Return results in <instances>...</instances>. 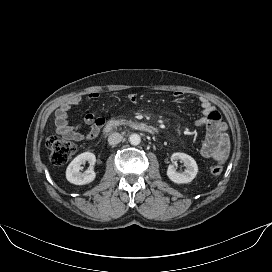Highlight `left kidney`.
<instances>
[{"instance_id": "obj_1", "label": "left kidney", "mask_w": 272, "mask_h": 272, "mask_svg": "<svg viewBox=\"0 0 272 272\" xmlns=\"http://www.w3.org/2000/svg\"><path fill=\"white\" fill-rule=\"evenodd\" d=\"M180 160L185 165V170L183 172H178L173 165H169L167 169L168 178L177 184L189 183L191 182L197 175L198 166L196 161L189 155L185 153H174L171 156V161L175 162Z\"/></svg>"}]
</instances>
